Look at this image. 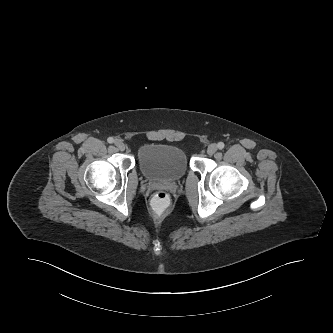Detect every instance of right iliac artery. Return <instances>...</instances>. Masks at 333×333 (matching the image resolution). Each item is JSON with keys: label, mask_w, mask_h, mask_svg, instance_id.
Instances as JSON below:
<instances>
[{"label": "right iliac artery", "mask_w": 333, "mask_h": 333, "mask_svg": "<svg viewBox=\"0 0 333 333\" xmlns=\"http://www.w3.org/2000/svg\"><path fill=\"white\" fill-rule=\"evenodd\" d=\"M107 141H108V143L112 144V143L114 142V139H113L112 137H109V138L107 139Z\"/></svg>", "instance_id": "1"}]
</instances>
